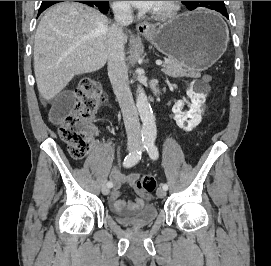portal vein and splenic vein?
Wrapping results in <instances>:
<instances>
[{"label":"portal vein and splenic vein","instance_id":"obj_1","mask_svg":"<svg viewBox=\"0 0 271 266\" xmlns=\"http://www.w3.org/2000/svg\"><path fill=\"white\" fill-rule=\"evenodd\" d=\"M163 62L161 60H156V65L161 66Z\"/></svg>","mask_w":271,"mask_h":266}]
</instances>
